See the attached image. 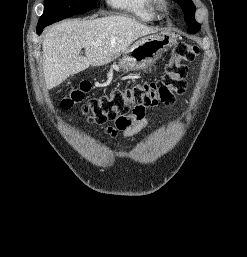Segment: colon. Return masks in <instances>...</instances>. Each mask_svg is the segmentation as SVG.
<instances>
[{"mask_svg":"<svg viewBox=\"0 0 247 257\" xmlns=\"http://www.w3.org/2000/svg\"><path fill=\"white\" fill-rule=\"evenodd\" d=\"M198 53L199 49L195 45L177 44L171 52L160 79L152 82H137L93 98L83 106L84 115L95 124L101 125L113 121L120 126L127 125L128 117L135 110H144L158 103L169 102L175 95L185 91V78L188 71L186 63L193 61ZM90 89L91 85L87 81L69 88L61 98L62 108L69 109L75 103L83 101Z\"/></svg>","mask_w":247,"mask_h":257,"instance_id":"1","label":"colon"}]
</instances>
